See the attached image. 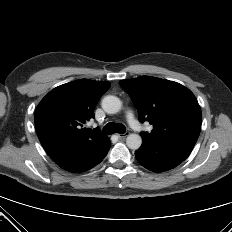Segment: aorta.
Wrapping results in <instances>:
<instances>
[{
	"label": "aorta",
	"instance_id": "obj_1",
	"mask_svg": "<svg viewBox=\"0 0 232 232\" xmlns=\"http://www.w3.org/2000/svg\"><path fill=\"white\" fill-rule=\"evenodd\" d=\"M101 106L106 113L115 114L120 111L122 102L118 97L108 95L102 99ZM126 144L130 149L137 150L142 144V138L138 134H129L126 138Z\"/></svg>",
	"mask_w": 232,
	"mask_h": 232
}]
</instances>
